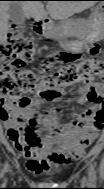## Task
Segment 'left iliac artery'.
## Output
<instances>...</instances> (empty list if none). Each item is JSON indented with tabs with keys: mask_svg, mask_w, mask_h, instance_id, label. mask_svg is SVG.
<instances>
[{
	"mask_svg": "<svg viewBox=\"0 0 104 189\" xmlns=\"http://www.w3.org/2000/svg\"><path fill=\"white\" fill-rule=\"evenodd\" d=\"M89 179L92 182L91 185H94L96 182V176H95V168L92 163L89 165Z\"/></svg>",
	"mask_w": 104,
	"mask_h": 189,
	"instance_id": "44dca946",
	"label": "left iliac artery"
}]
</instances>
